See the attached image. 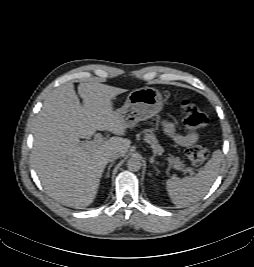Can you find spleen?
Segmentation results:
<instances>
[{"label":"spleen","instance_id":"3e777b00","mask_svg":"<svg viewBox=\"0 0 254 267\" xmlns=\"http://www.w3.org/2000/svg\"><path fill=\"white\" fill-rule=\"evenodd\" d=\"M221 162L222 152L216 150L195 176L173 177L166 180V190L172 202L178 208H184L200 201L216 180Z\"/></svg>","mask_w":254,"mask_h":267}]
</instances>
